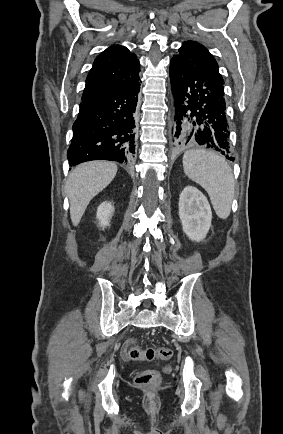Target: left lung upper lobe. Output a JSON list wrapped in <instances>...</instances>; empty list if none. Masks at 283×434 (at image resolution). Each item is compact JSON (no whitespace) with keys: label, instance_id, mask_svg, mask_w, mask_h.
<instances>
[{"label":"left lung upper lobe","instance_id":"left-lung-upper-lobe-1","mask_svg":"<svg viewBox=\"0 0 283 434\" xmlns=\"http://www.w3.org/2000/svg\"><path fill=\"white\" fill-rule=\"evenodd\" d=\"M172 59L224 84L215 58L206 47L196 41H184L182 46L178 49L177 54H175Z\"/></svg>","mask_w":283,"mask_h":434}]
</instances>
